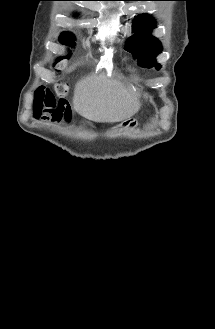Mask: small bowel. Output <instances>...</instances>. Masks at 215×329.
<instances>
[{"mask_svg": "<svg viewBox=\"0 0 215 329\" xmlns=\"http://www.w3.org/2000/svg\"><path fill=\"white\" fill-rule=\"evenodd\" d=\"M32 115L36 120H40L43 122L59 123L62 121H66L69 118L70 113L69 114H33L32 113Z\"/></svg>", "mask_w": 215, "mask_h": 329, "instance_id": "c3829d8e", "label": "small bowel"}]
</instances>
